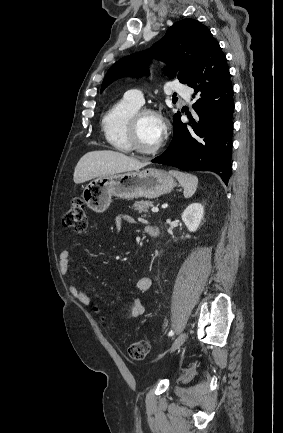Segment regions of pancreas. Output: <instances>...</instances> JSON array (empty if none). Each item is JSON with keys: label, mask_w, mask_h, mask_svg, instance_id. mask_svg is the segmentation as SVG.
Listing matches in <instances>:
<instances>
[{"label": "pancreas", "mask_w": 283, "mask_h": 433, "mask_svg": "<svg viewBox=\"0 0 283 433\" xmlns=\"http://www.w3.org/2000/svg\"><path fill=\"white\" fill-rule=\"evenodd\" d=\"M133 206L138 212H148L149 206H153V204L152 200H135ZM143 217H147V214H143Z\"/></svg>", "instance_id": "1"}]
</instances>
